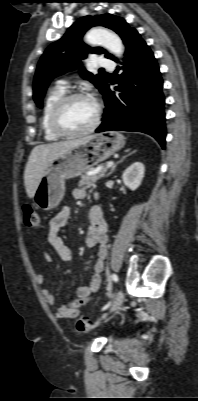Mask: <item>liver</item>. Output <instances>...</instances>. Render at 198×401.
Segmentation results:
<instances>
[{"label": "liver", "mask_w": 198, "mask_h": 401, "mask_svg": "<svg viewBox=\"0 0 198 401\" xmlns=\"http://www.w3.org/2000/svg\"><path fill=\"white\" fill-rule=\"evenodd\" d=\"M86 137L35 146L24 171V184L29 198H33L38 184L49 164L68 150L82 144Z\"/></svg>", "instance_id": "obj_1"}]
</instances>
